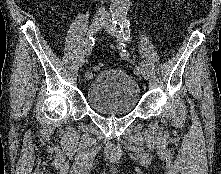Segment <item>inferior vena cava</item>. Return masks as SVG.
<instances>
[{
	"label": "inferior vena cava",
	"mask_w": 221,
	"mask_h": 174,
	"mask_svg": "<svg viewBox=\"0 0 221 174\" xmlns=\"http://www.w3.org/2000/svg\"><path fill=\"white\" fill-rule=\"evenodd\" d=\"M98 14L101 15V16H106L107 15V13L105 11V8L103 6L98 8Z\"/></svg>",
	"instance_id": "obj_1"
}]
</instances>
